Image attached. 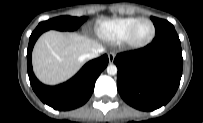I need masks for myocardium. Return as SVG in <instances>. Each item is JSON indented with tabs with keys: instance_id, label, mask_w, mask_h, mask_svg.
I'll return each mask as SVG.
<instances>
[{
	"instance_id": "f54148a6",
	"label": "myocardium",
	"mask_w": 203,
	"mask_h": 123,
	"mask_svg": "<svg viewBox=\"0 0 203 123\" xmlns=\"http://www.w3.org/2000/svg\"><path fill=\"white\" fill-rule=\"evenodd\" d=\"M144 22H149L151 25H152V34L149 38H147L146 40H143V41H139L136 39L135 37V34H136V31L138 29V27L144 23ZM155 34H156V28H155V24L153 23L152 20L150 19H147V18H143V19H140L129 31L125 41L126 43L133 47V48H140V47H144L146 45H148L150 42H152V40L154 39L155 37Z\"/></svg>"
}]
</instances>
